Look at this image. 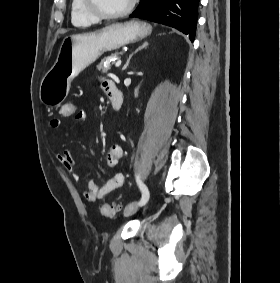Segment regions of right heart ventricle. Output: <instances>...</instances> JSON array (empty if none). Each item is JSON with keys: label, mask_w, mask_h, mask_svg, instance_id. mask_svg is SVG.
Masks as SVG:
<instances>
[{"label": "right heart ventricle", "mask_w": 280, "mask_h": 283, "mask_svg": "<svg viewBox=\"0 0 280 283\" xmlns=\"http://www.w3.org/2000/svg\"><path fill=\"white\" fill-rule=\"evenodd\" d=\"M99 20L89 14L83 0L71 1V22L76 27H87L96 24Z\"/></svg>", "instance_id": "obj_1"}]
</instances>
